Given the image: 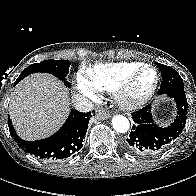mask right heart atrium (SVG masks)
I'll list each match as a JSON object with an SVG mask.
<instances>
[{
	"label": "right heart atrium",
	"mask_w": 196,
	"mask_h": 196,
	"mask_svg": "<svg viewBox=\"0 0 196 196\" xmlns=\"http://www.w3.org/2000/svg\"><path fill=\"white\" fill-rule=\"evenodd\" d=\"M78 89L86 96L95 99L98 97V90L92 85L88 77L83 73L77 75Z\"/></svg>",
	"instance_id": "obj_1"
}]
</instances>
